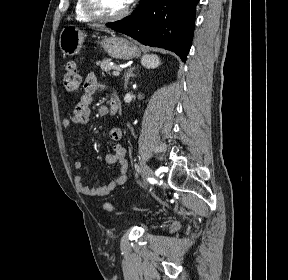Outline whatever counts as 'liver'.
I'll list each match as a JSON object with an SVG mask.
<instances>
[{"instance_id": "liver-1", "label": "liver", "mask_w": 288, "mask_h": 280, "mask_svg": "<svg viewBox=\"0 0 288 280\" xmlns=\"http://www.w3.org/2000/svg\"><path fill=\"white\" fill-rule=\"evenodd\" d=\"M95 27L101 28L103 31H108L107 29H105L104 27H102L100 25H95Z\"/></svg>"}]
</instances>
